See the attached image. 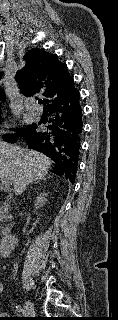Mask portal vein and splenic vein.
Wrapping results in <instances>:
<instances>
[{
	"label": "portal vein and splenic vein",
	"instance_id": "18ae733b",
	"mask_svg": "<svg viewBox=\"0 0 118 320\" xmlns=\"http://www.w3.org/2000/svg\"><path fill=\"white\" fill-rule=\"evenodd\" d=\"M0 181L2 182V185L5 189L9 188L10 184H12V182L8 179H0Z\"/></svg>",
	"mask_w": 118,
	"mask_h": 320
}]
</instances>
